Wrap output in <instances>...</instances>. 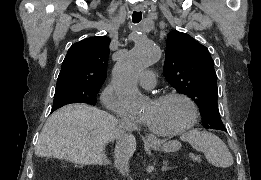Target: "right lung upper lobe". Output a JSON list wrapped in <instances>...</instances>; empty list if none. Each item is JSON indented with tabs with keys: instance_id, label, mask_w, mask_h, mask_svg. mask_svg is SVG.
<instances>
[{
	"instance_id": "cb5924a9",
	"label": "right lung upper lobe",
	"mask_w": 261,
	"mask_h": 180,
	"mask_svg": "<svg viewBox=\"0 0 261 180\" xmlns=\"http://www.w3.org/2000/svg\"><path fill=\"white\" fill-rule=\"evenodd\" d=\"M109 44L110 38L106 36L90 37L73 44L62 63L57 86H102L106 79Z\"/></svg>"
}]
</instances>
